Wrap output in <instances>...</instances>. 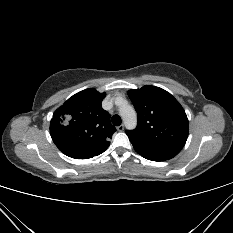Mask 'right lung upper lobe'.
Returning <instances> with one entry per match:
<instances>
[{
	"mask_svg": "<svg viewBox=\"0 0 233 233\" xmlns=\"http://www.w3.org/2000/svg\"><path fill=\"white\" fill-rule=\"evenodd\" d=\"M105 96L89 88L73 95L54 112L50 134L65 155L88 159L108 148L116 129L110 123L109 113L101 106Z\"/></svg>",
	"mask_w": 233,
	"mask_h": 233,
	"instance_id": "cb5924a9",
	"label": "right lung upper lobe"
}]
</instances>
